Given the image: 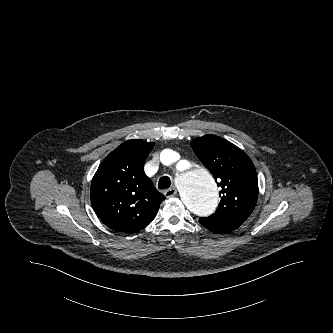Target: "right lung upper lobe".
I'll list each match as a JSON object with an SVG mask.
<instances>
[{"label": "right lung upper lobe", "mask_w": 333, "mask_h": 333, "mask_svg": "<svg viewBox=\"0 0 333 333\" xmlns=\"http://www.w3.org/2000/svg\"><path fill=\"white\" fill-rule=\"evenodd\" d=\"M154 145L140 139L122 143L103 160L92 179V207L115 231L143 229L165 199L144 172V161Z\"/></svg>", "instance_id": "right-lung-upper-lobe-1"}]
</instances>
